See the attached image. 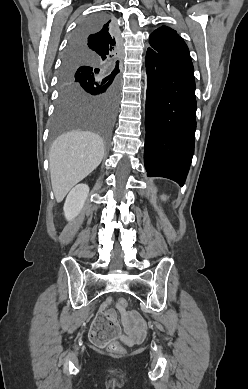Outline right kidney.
Returning a JSON list of instances; mask_svg holds the SVG:
<instances>
[{
    "instance_id": "right-kidney-1",
    "label": "right kidney",
    "mask_w": 248,
    "mask_h": 389,
    "mask_svg": "<svg viewBox=\"0 0 248 389\" xmlns=\"http://www.w3.org/2000/svg\"><path fill=\"white\" fill-rule=\"evenodd\" d=\"M88 194L89 187L87 184H78L69 192L63 207L65 218L68 221L73 220L80 213Z\"/></svg>"
}]
</instances>
